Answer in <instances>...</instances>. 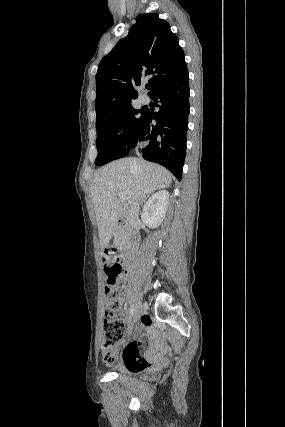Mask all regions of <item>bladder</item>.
Masks as SVG:
<instances>
[{"label":"bladder","mask_w":285,"mask_h":427,"mask_svg":"<svg viewBox=\"0 0 285 427\" xmlns=\"http://www.w3.org/2000/svg\"><path fill=\"white\" fill-rule=\"evenodd\" d=\"M115 372L117 373V374H120V375H127V376H138L140 373H142L143 371L142 370H135V371H131V370H128V369H126V368H117L116 370H115Z\"/></svg>","instance_id":"bladder-1"}]
</instances>
